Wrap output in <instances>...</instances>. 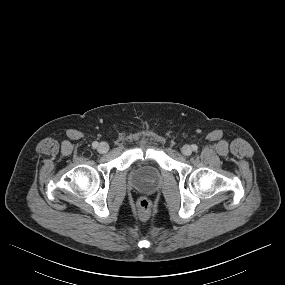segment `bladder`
<instances>
[{"instance_id": "31cf9c89", "label": "bladder", "mask_w": 285, "mask_h": 285, "mask_svg": "<svg viewBox=\"0 0 285 285\" xmlns=\"http://www.w3.org/2000/svg\"><path fill=\"white\" fill-rule=\"evenodd\" d=\"M161 180V173L158 168L152 165H143L132 170L130 174L131 183L141 189L151 190Z\"/></svg>"}]
</instances>
